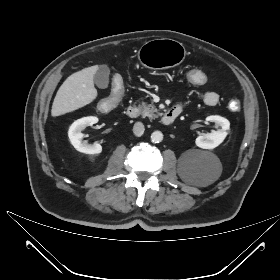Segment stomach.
<instances>
[{"label": "stomach", "mask_w": 280, "mask_h": 280, "mask_svg": "<svg viewBox=\"0 0 280 280\" xmlns=\"http://www.w3.org/2000/svg\"><path fill=\"white\" fill-rule=\"evenodd\" d=\"M186 56L182 43L169 39H154L144 43L138 51V60L149 69H167L179 65Z\"/></svg>", "instance_id": "0dacf381"}]
</instances>
